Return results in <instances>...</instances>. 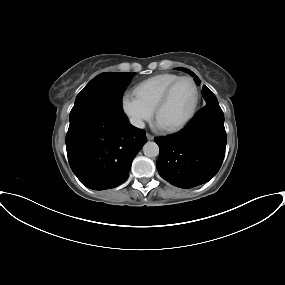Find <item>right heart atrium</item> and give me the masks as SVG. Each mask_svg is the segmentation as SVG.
Segmentation results:
<instances>
[{
    "label": "right heart atrium",
    "mask_w": 285,
    "mask_h": 285,
    "mask_svg": "<svg viewBox=\"0 0 285 285\" xmlns=\"http://www.w3.org/2000/svg\"><path fill=\"white\" fill-rule=\"evenodd\" d=\"M121 108L129 122L137 128H142L149 121L154 111L142 103L135 94L126 92L121 98Z\"/></svg>",
    "instance_id": "obj_1"
}]
</instances>
